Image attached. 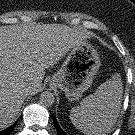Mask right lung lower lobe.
<instances>
[{
    "mask_svg": "<svg viewBox=\"0 0 135 135\" xmlns=\"http://www.w3.org/2000/svg\"><path fill=\"white\" fill-rule=\"evenodd\" d=\"M17 124V122H15L12 126H10L9 128L3 130V131H0V135H9L12 130L14 129L15 125Z\"/></svg>",
    "mask_w": 135,
    "mask_h": 135,
    "instance_id": "right-lung-lower-lobe-1",
    "label": "right lung lower lobe"
}]
</instances>
